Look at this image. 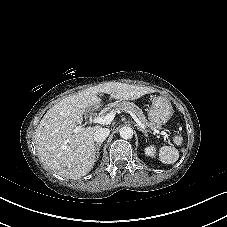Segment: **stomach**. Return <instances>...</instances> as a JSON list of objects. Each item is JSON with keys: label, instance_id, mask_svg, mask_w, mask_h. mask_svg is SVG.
<instances>
[{"label": "stomach", "instance_id": "0dacf381", "mask_svg": "<svg viewBox=\"0 0 227 227\" xmlns=\"http://www.w3.org/2000/svg\"><path fill=\"white\" fill-rule=\"evenodd\" d=\"M172 113L173 108L169 100L159 96L153 99L148 116L153 123L162 125L171 118Z\"/></svg>", "mask_w": 227, "mask_h": 227}]
</instances>
